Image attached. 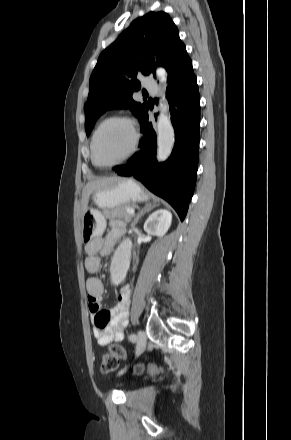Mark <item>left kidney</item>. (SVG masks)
Here are the masks:
<instances>
[{
    "label": "left kidney",
    "instance_id": "5707ae66",
    "mask_svg": "<svg viewBox=\"0 0 291 440\" xmlns=\"http://www.w3.org/2000/svg\"><path fill=\"white\" fill-rule=\"evenodd\" d=\"M172 213L167 209L153 212L144 223V230L157 237H163L171 226Z\"/></svg>",
    "mask_w": 291,
    "mask_h": 440
}]
</instances>
